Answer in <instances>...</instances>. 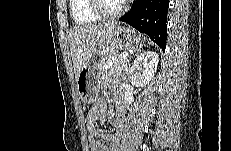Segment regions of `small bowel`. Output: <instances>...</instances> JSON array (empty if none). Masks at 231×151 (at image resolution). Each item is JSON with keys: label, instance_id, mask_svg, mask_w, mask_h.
I'll return each instance as SVG.
<instances>
[{"label": "small bowel", "instance_id": "1", "mask_svg": "<svg viewBox=\"0 0 231 151\" xmlns=\"http://www.w3.org/2000/svg\"><path fill=\"white\" fill-rule=\"evenodd\" d=\"M116 98L117 115L112 122V130L104 131L97 128L96 123L103 121L107 116V107L104 100L97 101L89 110L87 115V130L89 132V144L91 151H118V145L121 139V130L123 123V115L126 109L121 99V92L112 89ZM97 138H101L109 143V146L100 142Z\"/></svg>", "mask_w": 231, "mask_h": 151}]
</instances>
